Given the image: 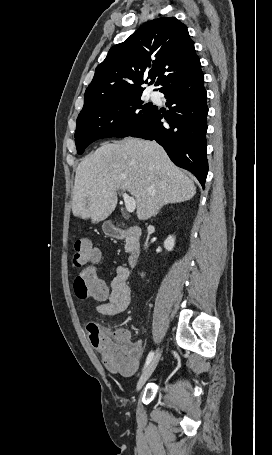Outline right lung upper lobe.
I'll return each mask as SVG.
<instances>
[{"mask_svg":"<svg viewBox=\"0 0 272 455\" xmlns=\"http://www.w3.org/2000/svg\"><path fill=\"white\" fill-rule=\"evenodd\" d=\"M200 71L187 27L175 17L151 20L109 50L86 89L80 113L142 94L149 79L158 77L156 86L162 92Z\"/></svg>","mask_w":272,"mask_h":455,"instance_id":"obj_1","label":"right lung upper lobe"}]
</instances>
